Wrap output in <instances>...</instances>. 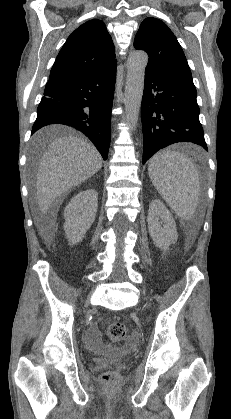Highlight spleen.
Masks as SVG:
<instances>
[{
  "label": "spleen",
  "instance_id": "spleen-1",
  "mask_svg": "<svg viewBox=\"0 0 231 419\" xmlns=\"http://www.w3.org/2000/svg\"><path fill=\"white\" fill-rule=\"evenodd\" d=\"M148 174L168 206L182 219L194 215L200 191L199 172L185 155L162 150L149 162Z\"/></svg>",
  "mask_w": 231,
  "mask_h": 419
}]
</instances>
